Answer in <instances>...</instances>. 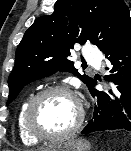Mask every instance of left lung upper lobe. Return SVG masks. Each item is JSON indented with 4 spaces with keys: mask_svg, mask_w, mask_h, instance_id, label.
<instances>
[{
    "mask_svg": "<svg viewBox=\"0 0 131 151\" xmlns=\"http://www.w3.org/2000/svg\"><path fill=\"white\" fill-rule=\"evenodd\" d=\"M130 35L131 18L123 0H57L53 14L37 18L17 47L7 104L25 85L58 70L77 75L89 88L94 80L79 74L67 58L74 44L90 41L106 52Z\"/></svg>",
    "mask_w": 131,
    "mask_h": 151,
    "instance_id": "5c2ea615",
    "label": "left lung upper lobe"
}]
</instances>
